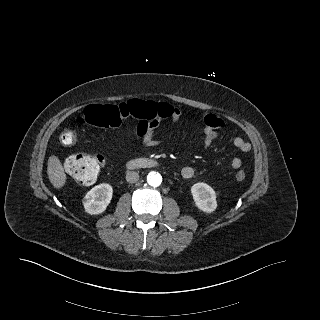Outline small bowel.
<instances>
[{
	"label": "small bowel",
	"mask_w": 320,
	"mask_h": 320,
	"mask_svg": "<svg viewBox=\"0 0 320 320\" xmlns=\"http://www.w3.org/2000/svg\"><path fill=\"white\" fill-rule=\"evenodd\" d=\"M169 107L170 113L168 117H170V119L173 122L178 121L181 116V111L176 107L170 105ZM188 117L192 121L201 122L204 125L203 133L205 145L209 146L212 142L216 140V138L218 137L217 130L222 125L221 119L212 115L203 116L198 112H191L189 113ZM157 127L158 122L154 123L147 121H139L136 128L138 140L146 147H152L157 145L159 143V139L155 137ZM233 145L238 151L242 153H248L251 150V145L240 137L234 138ZM230 165L233 169H238L242 165V160L238 157H235L231 160ZM181 174L184 178L188 179L194 176L195 170L191 166H185L182 169Z\"/></svg>",
	"instance_id": "small-bowel-1"
}]
</instances>
